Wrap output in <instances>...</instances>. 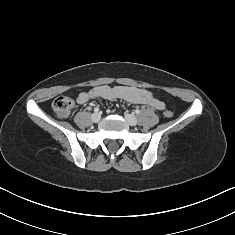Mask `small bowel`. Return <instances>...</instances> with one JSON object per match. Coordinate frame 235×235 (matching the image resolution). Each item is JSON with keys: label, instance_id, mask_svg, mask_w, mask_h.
Masks as SVG:
<instances>
[{"label": "small bowel", "instance_id": "1", "mask_svg": "<svg viewBox=\"0 0 235 235\" xmlns=\"http://www.w3.org/2000/svg\"><path fill=\"white\" fill-rule=\"evenodd\" d=\"M123 99L129 103L149 106L155 110H164L165 103L155 98L151 91L133 86L100 85L83 91L77 96L79 104H85L90 99Z\"/></svg>", "mask_w": 235, "mask_h": 235}]
</instances>
